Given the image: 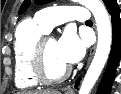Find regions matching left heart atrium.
I'll list each match as a JSON object with an SVG mask.
<instances>
[{"label":"left heart atrium","mask_w":121,"mask_h":94,"mask_svg":"<svg viewBox=\"0 0 121 94\" xmlns=\"http://www.w3.org/2000/svg\"><path fill=\"white\" fill-rule=\"evenodd\" d=\"M58 52L68 64L81 60L85 53V46L81 39L72 31H66L57 42Z\"/></svg>","instance_id":"1"}]
</instances>
